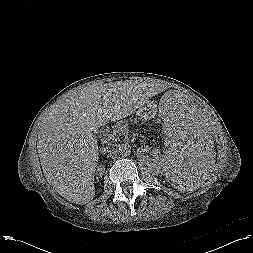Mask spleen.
Returning <instances> with one entry per match:
<instances>
[{
  "mask_svg": "<svg viewBox=\"0 0 253 253\" xmlns=\"http://www.w3.org/2000/svg\"><path fill=\"white\" fill-rule=\"evenodd\" d=\"M158 112L163 120L162 170L177 189L194 190L212 171L216 139L213 122L178 92L163 96Z\"/></svg>",
  "mask_w": 253,
  "mask_h": 253,
  "instance_id": "3e777b00",
  "label": "spleen"
}]
</instances>
